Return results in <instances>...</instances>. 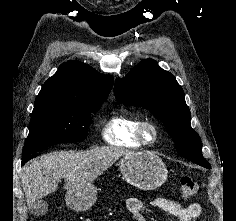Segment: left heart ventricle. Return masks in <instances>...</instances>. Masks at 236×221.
Returning a JSON list of instances; mask_svg holds the SVG:
<instances>
[{
  "label": "left heart ventricle",
  "instance_id": "b2bd125f",
  "mask_svg": "<svg viewBox=\"0 0 236 221\" xmlns=\"http://www.w3.org/2000/svg\"><path fill=\"white\" fill-rule=\"evenodd\" d=\"M146 135H147L148 138H151V137L153 136L152 130L148 128V129L146 130Z\"/></svg>",
  "mask_w": 236,
  "mask_h": 221
}]
</instances>
